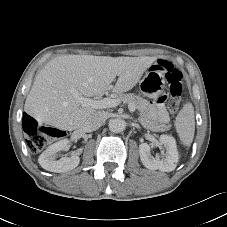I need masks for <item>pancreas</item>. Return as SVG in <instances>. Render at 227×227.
<instances>
[{"label": "pancreas", "mask_w": 227, "mask_h": 227, "mask_svg": "<svg viewBox=\"0 0 227 227\" xmlns=\"http://www.w3.org/2000/svg\"><path fill=\"white\" fill-rule=\"evenodd\" d=\"M117 99H119L123 103H127V104L132 103L135 105V107L139 111L138 121L145 129L151 130L153 132L166 131L170 129L171 127L170 125L158 124L156 121H151L147 117L145 113L147 101L142 97H140L139 95H135L133 93H128V94L120 93L118 94Z\"/></svg>", "instance_id": "1"}]
</instances>
